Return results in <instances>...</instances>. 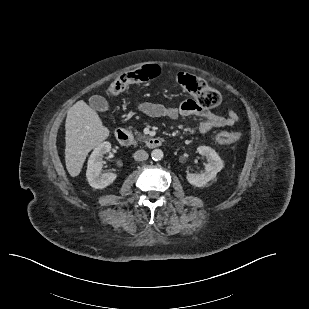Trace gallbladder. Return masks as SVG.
<instances>
[{"instance_id": "bac80fb5", "label": "gallbladder", "mask_w": 309, "mask_h": 309, "mask_svg": "<svg viewBox=\"0 0 309 309\" xmlns=\"http://www.w3.org/2000/svg\"><path fill=\"white\" fill-rule=\"evenodd\" d=\"M89 104L92 108L98 111H106L109 108L106 99L99 95H93L89 98Z\"/></svg>"}]
</instances>
